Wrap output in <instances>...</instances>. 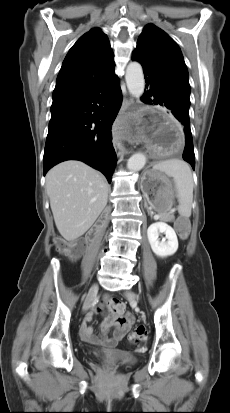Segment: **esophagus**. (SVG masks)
I'll return each instance as SVG.
<instances>
[{
  "mask_svg": "<svg viewBox=\"0 0 230 413\" xmlns=\"http://www.w3.org/2000/svg\"><path fill=\"white\" fill-rule=\"evenodd\" d=\"M126 103H127L128 106H130L133 103V100L132 99L127 100ZM115 151H116L117 155H121V154L125 153L124 147L120 144L115 146Z\"/></svg>",
  "mask_w": 230,
  "mask_h": 413,
  "instance_id": "34e87169",
  "label": "esophagus"
}]
</instances>
